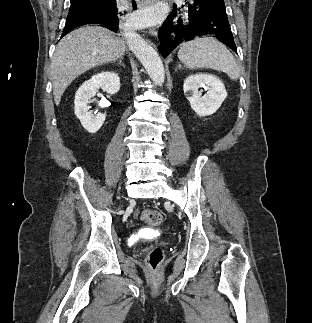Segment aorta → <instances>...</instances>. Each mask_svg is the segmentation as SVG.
I'll return each instance as SVG.
<instances>
[{"label": "aorta", "mask_w": 312, "mask_h": 323, "mask_svg": "<svg viewBox=\"0 0 312 323\" xmlns=\"http://www.w3.org/2000/svg\"><path fill=\"white\" fill-rule=\"evenodd\" d=\"M125 36L131 52L135 54L136 58H138L139 62L144 66L152 82L157 84V86H162L165 72L162 60L159 58L157 52H155L154 48H152L142 36H139L137 32L125 30Z\"/></svg>", "instance_id": "762f6f07"}]
</instances>
